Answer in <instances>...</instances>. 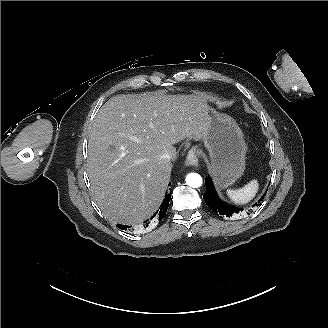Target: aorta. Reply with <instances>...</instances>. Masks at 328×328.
I'll list each match as a JSON object with an SVG mask.
<instances>
[{
    "instance_id": "aorta-1",
    "label": "aorta",
    "mask_w": 328,
    "mask_h": 328,
    "mask_svg": "<svg viewBox=\"0 0 328 328\" xmlns=\"http://www.w3.org/2000/svg\"><path fill=\"white\" fill-rule=\"evenodd\" d=\"M186 183H187L188 186H190L192 188H198L202 185L203 179L197 173H189L186 176Z\"/></svg>"
}]
</instances>
